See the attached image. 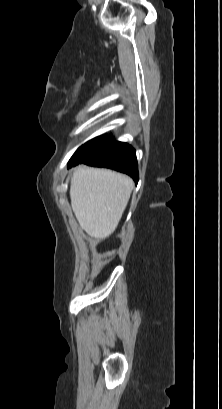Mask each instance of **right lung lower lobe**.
Returning a JSON list of instances; mask_svg holds the SVG:
<instances>
[{
	"label": "right lung lower lobe",
	"mask_w": 222,
	"mask_h": 409,
	"mask_svg": "<svg viewBox=\"0 0 222 409\" xmlns=\"http://www.w3.org/2000/svg\"><path fill=\"white\" fill-rule=\"evenodd\" d=\"M106 167L130 175L138 182V167L135 150L128 144L115 141L109 136L103 148L90 158L77 163H68V168L78 164Z\"/></svg>",
	"instance_id": "1"
}]
</instances>
